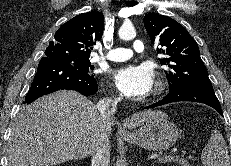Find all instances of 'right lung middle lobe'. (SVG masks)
Masks as SVG:
<instances>
[{
	"mask_svg": "<svg viewBox=\"0 0 231 166\" xmlns=\"http://www.w3.org/2000/svg\"><path fill=\"white\" fill-rule=\"evenodd\" d=\"M57 61L72 65L84 73L92 74L89 69H92L93 67L90 66L89 59H75V58L61 57L58 58Z\"/></svg>",
	"mask_w": 231,
	"mask_h": 166,
	"instance_id": "right-lung-middle-lobe-1",
	"label": "right lung middle lobe"
}]
</instances>
